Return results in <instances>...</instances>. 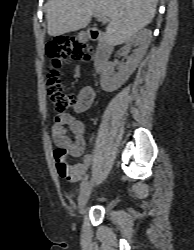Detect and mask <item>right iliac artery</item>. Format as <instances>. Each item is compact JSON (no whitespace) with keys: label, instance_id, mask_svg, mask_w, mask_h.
<instances>
[{"label":"right iliac artery","instance_id":"right-iliac-artery-1","mask_svg":"<svg viewBox=\"0 0 194 250\" xmlns=\"http://www.w3.org/2000/svg\"><path fill=\"white\" fill-rule=\"evenodd\" d=\"M88 178H89V174H87V175L83 178V180H82V182H81V185H80V191H82L83 188L86 186V184H87V182H88Z\"/></svg>","mask_w":194,"mask_h":250}]
</instances>
